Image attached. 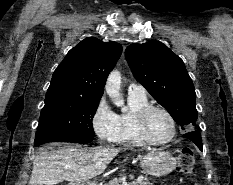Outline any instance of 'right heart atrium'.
<instances>
[{
    "label": "right heart atrium",
    "instance_id": "d8ad5b80",
    "mask_svg": "<svg viewBox=\"0 0 233 185\" xmlns=\"http://www.w3.org/2000/svg\"><path fill=\"white\" fill-rule=\"evenodd\" d=\"M91 126L99 141L114 143L118 137V115L102 97L96 104L91 116Z\"/></svg>",
    "mask_w": 233,
    "mask_h": 185
}]
</instances>
